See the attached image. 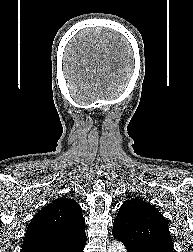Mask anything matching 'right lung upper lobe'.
I'll return each mask as SVG.
<instances>
[{"label":"right lung upper lobe","mask_w":193,"mask_h":252,"mask_svg":"<svg viewBox=\"0 0 193 252\" xmlns=\"http://www.w3.org/2000/svg\"><path fill=\"white\" fill-rule=\"evenodd\" d=\"M85 240L80 205L71 198H59L31 220L21 252H64Z\"/></svg>","instance_id":"right-lung-upper-lobe-1"}]
</instances>
